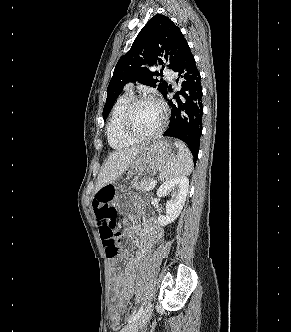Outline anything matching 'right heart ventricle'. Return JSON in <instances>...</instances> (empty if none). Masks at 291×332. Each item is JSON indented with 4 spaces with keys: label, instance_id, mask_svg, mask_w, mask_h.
Instances as JSON below:
<instances>
[{
    "label": "right heart ventricle",
    "instance_id": "1",
    "mask_svg": "<svg viewBox=\"0 0 291 332\" xmlns=\"http://www.w3.org/2000/svg\"><path fill=\"white\" fill-rule=\"evenodd\" d=\"M134 98L131 91L120 95L116 100L110 118L106 126L107 139L110 146L114 149H122L132 146L137 141L127 137L122 130V118L129 102Z\"/></svg>",
    "mask_w": 291,
    "mask_h": 332
}]
</instances>
